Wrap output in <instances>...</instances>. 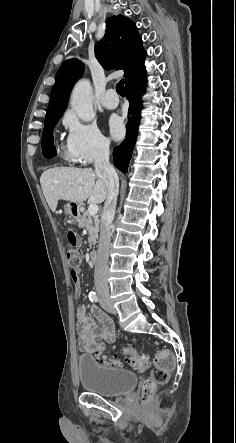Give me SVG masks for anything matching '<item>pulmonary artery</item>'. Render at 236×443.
<instances>
[{
  "label": "pulmonary artery",
  "mask_w": 236,
  "mask_h": 443,
  "mask_svg": "<svg viewBox=\"0 0 236 443\" xmlns=\"http://www.w3.org/2000/svg\"><path fill=\"white\" fill-rule=\"evenodd\" d=\"M113 94H115V90L112 88L106 91V93L100 100L103 107L107 109H115L118 106V101H113L109 99V96Z\"/></svg>",
  "instance_id": "pulmonary-artery-1"
}]
</instances>
